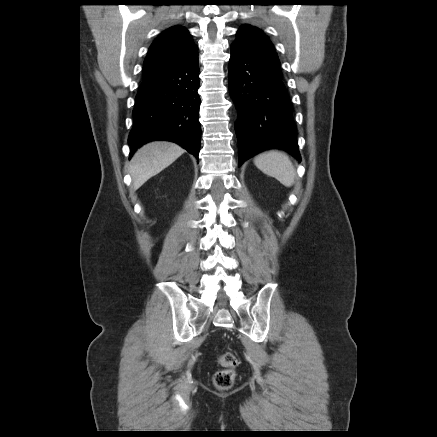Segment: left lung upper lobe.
<instances>
[{"label":"left lung upper lobe","instance_id":"obj_1","mask_svg":"<svg viewBox=\"0 0 437 437\" xmlns=\"http://www.w3.org/2000/svg\"><path fill=\"white\" fill-rule=\"evenodd\" d=\"M233 44L261 60L272 71L282 76L280 61L269 38L257 27L245 24L237 31Z\"/></svg>","mask_w":437,"mask_h":437}]
</instances>
